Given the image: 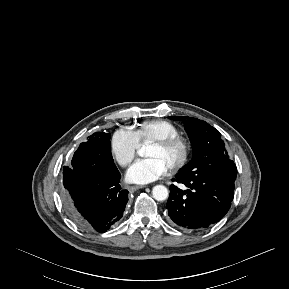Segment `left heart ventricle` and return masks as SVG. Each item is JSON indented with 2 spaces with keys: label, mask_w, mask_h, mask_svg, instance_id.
I'll use <instances>...</instances> for the list:
<instances>
[{
  "label": "left heart ventricle",
  "mask_w": 289,
  "mask_h": 289,
  "mask_svg": "<svg viewBox=\"0 0 289 289\" xmlns=\"http://www.w3.org/2000/svg\"><path fill=\"white\" fill-rule=\"evenodd\" d=\"M145 156L147 158H155L161 161L168 169L179 157L178 148L160 149L155 146H149Z\"/></svg>",
  "instance_id": "left-heart-ventricle-1"
}]
</instances>
